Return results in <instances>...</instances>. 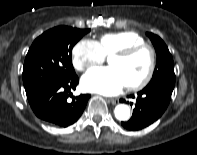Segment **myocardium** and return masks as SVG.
<instances>
[{"mask_svg": "<svg viewBox=\"0 0 197 155\" xmlns=\"http://www.w3.org/2000/svg\"><path fill=\"white\" fill-rule=\"evenodd\" d=\"M142 51L147 52L149 55V59H150L149 67H148L147 73L140 81L133 83V84L126 85L127 89L131 91L140 90L146 87L151 81L154 75L155 69H156V52L154 48L144 43V44L133 45V46H129V47L117 50L111 55V57L117 56V57H122V58H128Z\"/></svg>", "mask_w": 197, "mask_h": 155, "instance_id": "obj_1", "label": "myocardium"}]
</instances>
